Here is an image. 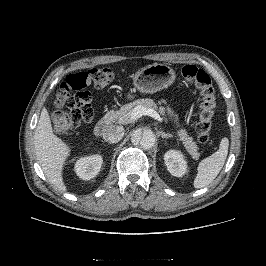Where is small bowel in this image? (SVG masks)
I'll return each instance as SVG.
<instances>
[{
  "instance_id": "small-bowel-1",
  "label": "small bowel",
  "mask_w": 266,
  "mask_h": 266,
  "mask_svg": "<svg viewBox=\"0 0 266 266\" xmlns=\"http://www.w3.org/2000/svg\"><path fill=\"white\" fill-rule=\"evenodd\" d=\"M168 114L170 115V117H172V114H171V112H170V111H168Z\"/></svg>"
}]
</instances>
